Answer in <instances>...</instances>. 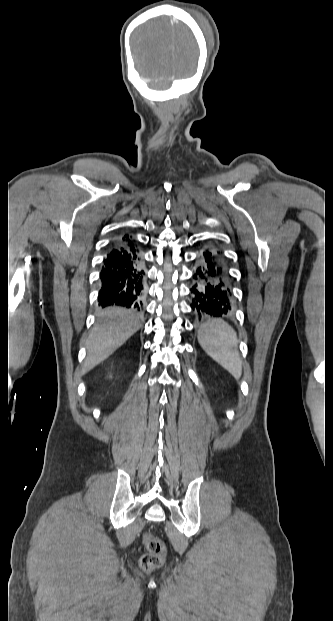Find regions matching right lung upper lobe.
<instances>
[{
    "label": "right lung upper lobe",
    "instance_id": "right-lung-upper-lobe-1",
    "mask_svg": "<svg viewBox=\"0 0 333 621\" xmlns=\"http://www.w3.org/2000/svg\"><path fill=\"white\" fill-rule=\"evenodd\" d=\"M120 238H121V239H123L124 241L129 242V243H133V242H132V241H133V240H132V236H130V235H128V234H125L123 237L121 236Z\"/></svg>",
    "mask_w": 333,
    "mask_h": 621
}]
</instances>
